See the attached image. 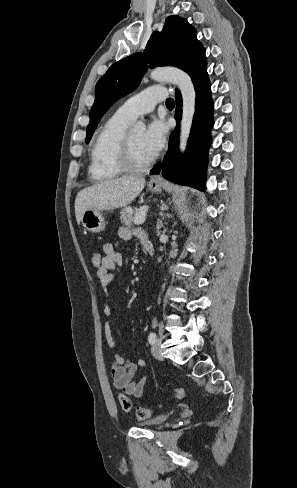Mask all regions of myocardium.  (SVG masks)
<instances>
[{
	"instance_id": "obj_1",
	"label": "myocardium",
	"mask_w": 297,
	"mask_h": 488,
	"mask_svg": "<svg viewBox=\"0 0 297 488\" xmlns=\"http://www.w3.org/2000/svg\"><path fill=\"white\" fill-rule=\"evenodd\" d=\"M155 159L151 158L147 163L143 165H137L132 159V149L130 135L126 134L122 140L120 153H119V164L124 172L129 173H142L149 170L154 164Z\"/></svg>"
}]
</instances>
